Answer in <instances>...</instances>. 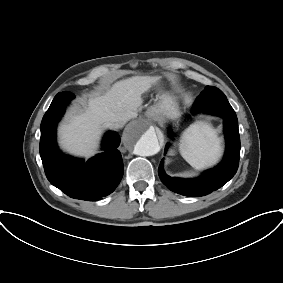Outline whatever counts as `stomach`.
<instances>
[{"instance_id":"1","label":"stomach","mask_w":283,"mask_h":283,"mask_svg":"<svg viewBox=\"0 0 283 283\" xmlns=\"http://www.w3.org/2000/svg\"><path fill=\"white\" fill-rule=\"evenodd\" d=\"M156 116L176 120L180 116L178 104L170 95H162L158 103L151 107Z\"/></svg>"}]
</instances>
